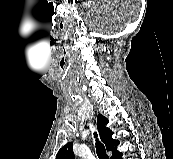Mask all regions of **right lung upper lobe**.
<instances>
[{"label":"right lung upper lobe","instance_id":"obj_1","mask_svg":"<svg viewBox=\"0 0 173 159\" xmlns=\"http://www.w3.org/2000/svg\"><path fill=\"white\" fill-rule=\"evenodd\" d=\"M108 123V119L103 115L99 114L97 118L98 130L100 133L101 140L104 142L106 149L112 151L110 159H121L122 153L117 150L119 144L118 140L112 138L113 132L106 128L105 125ZM73 143L69 142L63 146L56 155V159H74Z\"/></svg>","mask_w":173,"mask_h":159}]
</instances>
